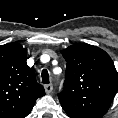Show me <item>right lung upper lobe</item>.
Wrapping results in <instances>:
<instances>
[{
  "mask_svg": "<svg viewBox=\"0 0 118 118\" xmlns=\"http://www.w3.org/2000/svg\"><path fill=\"white\" fill-rule=\"evenodd\" d=\"M26 59L20 44L0 46V118L26 117L36 99L45 95Z\"/></svg>",
  "mask_w": 118,
  "mask_h": 118,
  "instance_id": "right-lung-upper-lobe-1",
  "label": "right lung upper lobe"
}]
</instances>
